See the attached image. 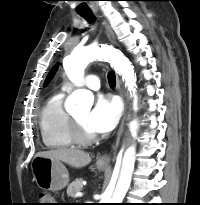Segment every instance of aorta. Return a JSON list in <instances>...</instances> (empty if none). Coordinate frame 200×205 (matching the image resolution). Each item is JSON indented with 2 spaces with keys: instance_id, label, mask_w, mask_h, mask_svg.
<instances>
[{
  "instance_id": "obj_1",
  "label": "aorta",
  "mask_w": 200,
  "mask_h": 205,
  "mask_svg": "<svg viewBox=\"0 0 200 205\" xmlns=\"http://www.w3.org/2000/svg\"><path fill=\"white\" fill-rule=\"evenodd\" d=\"M109 60L114 70L122 76L125 86L130 93L136 90V75L131 62L123 53L111 46L89 45L76 47L72 50L63 62L65 72L69 79L79 84L82 81L86 66L94 60ZM93 94L87 90L79 89L72 93L69 102L74 110L89 111L93 105ZM133 136H137L138 124L136 121L131 124ZM136 146L133 144L124 153L120 175L112 194H103L100 203L120 204L122 203L131 183L134 171Z\"/></svg>"
}]
</instances>
